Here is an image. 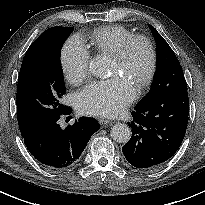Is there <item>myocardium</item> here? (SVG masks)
<instances>
[{
    "label": "myocardium",
    "mask_w": 205,
    "mask_h": 205,
    "mask_svg": "<svg viewBox=\"0 0 205 205\" xmlns=\"http://www.w3.org/2000/svg\"><path fill=\"white\" fill-rule=\"evenodd\" d=\"M136 43H142L146 46L148 53H149V65L148 69L144 75V77L138 82L137 88L138 89H144L146 86H148L156 72L157 68V52L156 48L153 44V42L144 35H134L128 40H126L123 45L120 47V49L114 54V60L122 63L124 62L127 57L129 56L133 46Z\"/></svg>",
    "instance_id": "1"
}]
</instances>
